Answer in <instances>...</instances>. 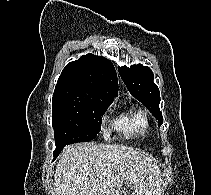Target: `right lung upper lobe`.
<instances>
[{
    "mask_svg": "<svg viewBox=\"0 0 211 195\" xmlns=\"http://www.w3.org/2000/svg\"><path fill=\"white\" fill-rule=\"evenodd\" d=\"M118 94L117 74L102 56L87 54L63 69L53 97L112 102Z\"/></svg>",
    "mask_w": 211,
    "mask_h": 195,
    "instance_id": "right-lung-upper-lobe-1",
    "label": "right lung upper lobe"
}]
</instances>
